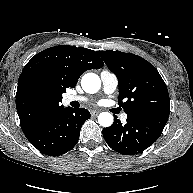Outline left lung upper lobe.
Listing matches in <instances>:
<instances>
[{
	"mask_svg": "<svg viewBox=\"0 0 193 193\" xmlns=\"http://www.w3.org/2000/svg\"><path fill=\"white\" fill-rule=\"evenodd\" d=\"M97 54L117 76L119 106L128 117L170 113L167 87L152 64L140 56L120 51H97Z\"/></svg>",
	"mask_w": 193,
	"mask_h": 193,
	"instance_id": "left-lung-upper-lobe-1",
	"label": "left lung upper lobe"
}]
</instances>
